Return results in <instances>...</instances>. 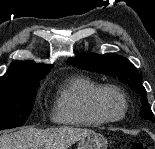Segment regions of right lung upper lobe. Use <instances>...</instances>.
I'll return each mask as SVG.
<instances>
[{"mask_svg":"<svg viewBox=\"0 0 155 149\" xmlns=\"http://www.w3.org/2000/svg\"><path fill=\"white\" fill-rule=\"evenodd\" d=\"M51 68L52 65L36 64L32 61H16L10 65L6 74L0 77V80L35 79L45 77Z\"/></svg>","mask_w":155,"mask_h":149,"instance_id":"1","label":"right lung upper lobe"}]
</instances>
